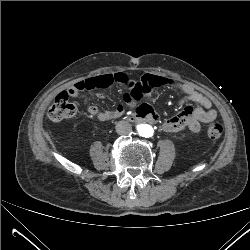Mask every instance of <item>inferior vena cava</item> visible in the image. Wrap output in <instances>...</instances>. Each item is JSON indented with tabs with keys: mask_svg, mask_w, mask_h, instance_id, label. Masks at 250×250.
Listing matches in <instances>:
<instances>
[{
	"mask_svg": "<svg viewBox=\"0 0 250 250\" xmlns=\"http://www.w3.org/2000/svg\"><path fill=\"white\" fill-rule=\"evenodd\" d=\"M116 132L118 134H131L132 125L126 121H120L116 125Z\"/></svg>",
	"mask_w": 250,
	"mask_h": 250,
	"instance_id": "1",
	"label": "inferior vena cava"
}]
</instances>
